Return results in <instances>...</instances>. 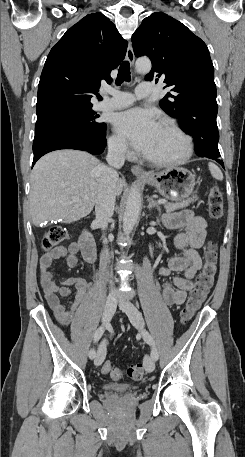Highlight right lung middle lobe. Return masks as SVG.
I'll return each mask as SVG.
<instances>
[{
	"mask_svg": "<svg viewBox=\"0 0 245 457\" xmlns=\"http://www.w3.org/2000/svg\"><path fill=\"white\" fill-rule=\"evenodd\" d=\"M98 117L92 110L90 101H63L53 109L37 112L35 131L53 125H71L85 128L88 133L100 136L105 123L96 122Z\"/></svg>",
	"mask_w": 245,
	"mask_h": 457,
	"instance_id": "dd1d6c3e",
	"label": "right lung middle lobe"
}]
</instances>
